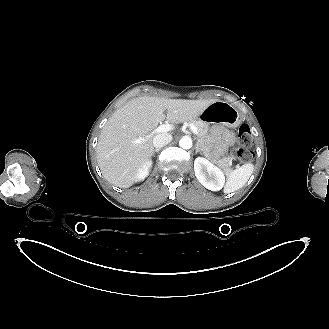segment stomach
I'll return each instance as SVG.
<instances>
[{"label":"stomach","mask_w":329,"mask_h":329,"mask_svg":"<svg viewBox=\"0 0 329 329\" xmlns=\"http://www.w3.org/2000/svg\"><path fill=\"white\" fill-rule=\"evenodd\" d=\"M199 117L208 124L221 122L230 128L238 127L241 123L239 112L232 105L221 100L210 104Z\"/></svg>","instance_id":"1"}]
</instances>
